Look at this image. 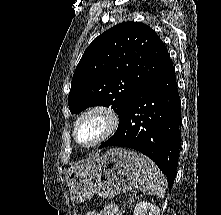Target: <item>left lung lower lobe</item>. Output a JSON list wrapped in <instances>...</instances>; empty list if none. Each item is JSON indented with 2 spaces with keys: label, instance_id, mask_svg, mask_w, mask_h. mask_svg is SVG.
Listing matches in <instances>:
<instances>
[{
  "label": "left lung lower lobe",
  "instance_id": "1",
  "mask_svg": "<svg viewBox=\"0 0 221 215\" xmlns=\"http://www.w3.org/2000/svg\"><path fill=\"white\" fill-rule=\"evenodd\" d=\"M119 120L116 133L99 149L122 146L145 154L167 176L171 190L178 164L180 101L170 59L135 96Z\"/></svg>",
  "mask_w": 221,
  "mask_h": 215
}]
</instances>
